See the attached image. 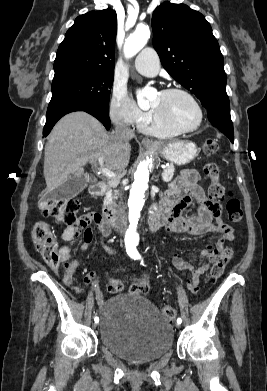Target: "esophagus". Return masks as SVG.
Returning a JSON list of instances; mask_svg holds the SVG:
<instances>
[{"mask_svg":"<svg viewBox=\"0 0 267 391\" xmlns=\"http://www.w3.org/2000/svg\"><path fill=\"white\" fill-rule=\"evenodd\" d=\"M142 144L144 146H153L154 145V142L148 138H143L142 139Z\"/></svg>","mask_w":267,"mask_h":391,"instance_id":"obj_1","label":"esophagus"}]
</instances>
